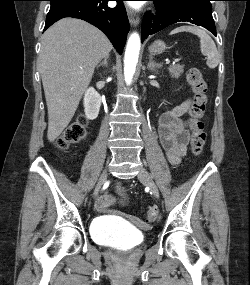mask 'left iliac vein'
Wrapping results in <instances>:
<instances>
[{
  "label": "left iliac vein",
  "mask_w": 250,
  "mask_h": 285,
  "mask_svg": "<svg viewBox=\"0 0 250 285\" xmlns=\"http://www.w3.org/2000/svg\"><path fill=\"white\" fill-rule=\"evenodd\" d=\"M138 179L150 189L155 198H159V190L152 177L145 168H141L138 173Z\"/></svg>",
  "instance_id": "left-iliac-vein-1"
}]
</instances>
